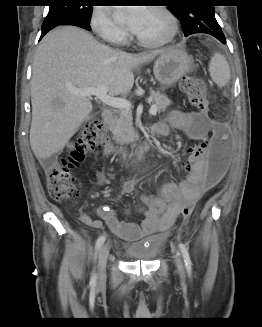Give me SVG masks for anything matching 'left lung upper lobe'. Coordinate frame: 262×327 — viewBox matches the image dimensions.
<instances>
[{
	"mask_svg": "<svg viewBox=\"0 0 262 327\" xmlns=\"http://www.w3.org/2000/svg\"><path fill=\"white\" fill-rule=\"evenodd\" d=\"M169 2L168 9L181 21L185 36L194 33L223 35L215 19L214 6L209 4L208 0H170Z\"/></svg>",
	"mask_w": 262,
	"mask_h": 327,
	"instance_id": "obj_1",
	"label": "left lung upper lobe"
}]
</instances>
